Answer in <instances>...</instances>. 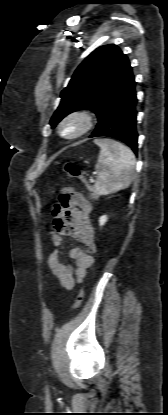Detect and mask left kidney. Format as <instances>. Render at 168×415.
<instances>
[{
  "mask_svg": "<svg viewBox=\"0 0 168 415\" xmlns=\"http://www.w3.org/2000/svg\"><path fill=\"white\" fill-rule=\"evenodd\" d=\"M107 216L106 215H104V216H101L100 218H99V224H100V226H103L106 222H107Z\"/></svg>",
  "mask_w": 168,
  "mask_h": 415,
  "instance_id": "1",
  "label": "left kidney"
}]
</instances>
